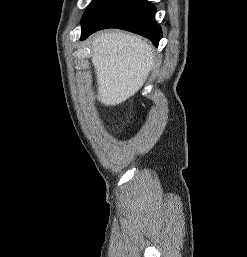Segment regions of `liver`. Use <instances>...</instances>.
I'll return each mask as SVG.
<instances>
[{
    "label": "liver",
    "mask_w": 247,
    "mask_h": 257,
    "mask_svg": "<svg viewBox=\"0 0 247 257\" xmlns=\"http://www.w3.org/2000/svg\"><path fill=\"white\" fill-rule=\"evenodd\" d=\"M98 100L116 106L133 96L145 83L154 64L152 46L140 36L103 31L91 38Z\"/></svg>",
    "instance_id": "obj_1"
}]
</instances>
